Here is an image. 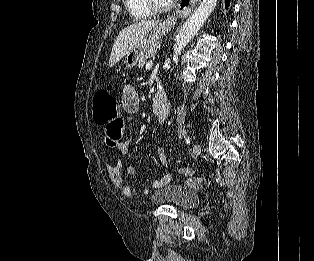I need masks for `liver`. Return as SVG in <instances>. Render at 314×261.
<instances>
[{
    "label": "liver",
    "instance_id": "liver-1",
    "mask_svg": "<svg viewBox=\"0 0 314 261\" xmlns=\"http://www.w3.org/2000/svg\"><path fill=\"white\" fill-rule=\"evenodd\" d=\"M160 25L159 21L146 20L132 24L123 29L117 36L110 55L109 66L113 67L131 50H133L144 37L155 27Z\"/></svg>",
    "mask_w": 314,
    "mask_h": 261
}]
</instances>
